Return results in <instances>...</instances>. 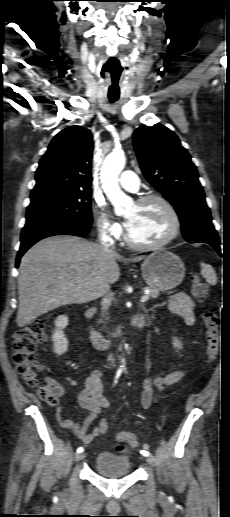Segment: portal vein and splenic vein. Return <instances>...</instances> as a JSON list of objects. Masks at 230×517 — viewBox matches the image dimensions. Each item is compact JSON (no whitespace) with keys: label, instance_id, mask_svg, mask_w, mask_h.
<instances>
[{"label":"portal vein and splenic vein","instance_id":"1","mask_svg":"<svg viewBox=\"0 0 230 517\" xmlns=\"http://www.w3.org/2000/svg\"><path fill=\"white\" fill-rule=\"evenodd\" d=\"M148 299H149V294H146V295L141 297L140 301L143 303V302H146Z\"/></svg>","mask_w":230,"mask_h":517}]
</instances>
